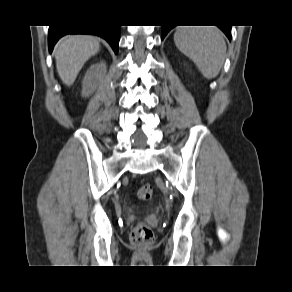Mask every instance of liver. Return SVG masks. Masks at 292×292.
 Here are the masks:
<instances>
[{
	"label": "liver",
	"mask_w": 292,
	"mask_h": 292,
	"mask_svg": "<svg viewBox=\"0 0 292 292\" xmlns=\"http://www.w3.org/2000/svg\"><path fill=\"white\" fill-rule=\"evenodd\" d=\"M100 50L99 41L88 35H69L59 40L55 47L58 75L71 86L84 63Z\"/></svg>",
	"instance_id": "1"
}]
</instances>
